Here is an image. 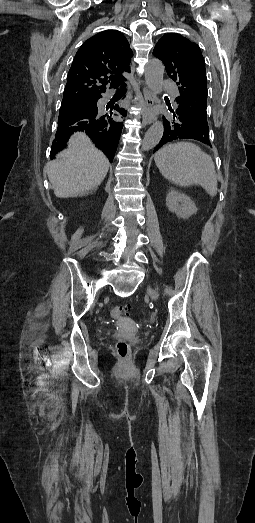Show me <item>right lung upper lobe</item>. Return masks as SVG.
I'll list each match as a JSON object with an SVG mask.
<instances>
[{"instance_id":"cb5924a9","label":"right lung upper lobe","mask_w":255,"mask_h":523,"mask_svg":"<svg viewBox=\"0 0 255 523\" xmlns=\"http://www.w3.org/2000/svg\"><path fill=\"white\" fill-rule=\"evenodd\" d=\"M133 55L125 36L116 30H106L86 40L77 51L67 76L59 118L58 130L52 143L50 158L66 147L70 135L75 131H91L93 142L112 162L123 124L120 122L125 111L118 104H104L101 94L106 86H125L123 72H130ZM97 105L100 118L86 123L79 118L82 106Z\"/></svg>"}]
</instances>
